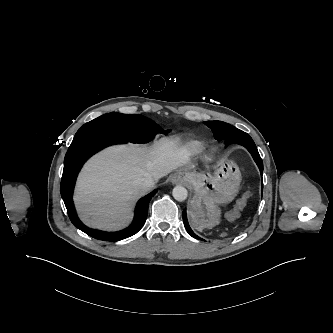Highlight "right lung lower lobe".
I'll use <instances>...</instances> for the list:
<instances>
[{
	"instance_id": "1",
	"label": "right lung lower lobe",
	"mask_w": 333,
	"mask_h": 333,
	"mask_svg": "<svg viewBox=\"0 0 333 333\" xmlns=\"http://www.w3.org/2000/svg\"><path fill=\"white\" fill-rule=\"evenodd\" d=\"M127 142L128 141L123 138L106 132L91 131L78 137H74L65 155L64 169L61 180V196L67 208L69 218L75 227L85 232L89 236L99 240L119 241L136 234L144 225L148 213V204L151 198L157 192V190H154L138 202L133 223L130 227L122 231L108 233L100 230L90 229L78 220L72 204V195L78 172L81 169L83 163L91 155L106 146Z\"/></svg>"
}]
</instances>
